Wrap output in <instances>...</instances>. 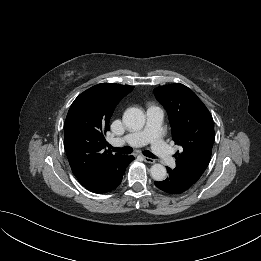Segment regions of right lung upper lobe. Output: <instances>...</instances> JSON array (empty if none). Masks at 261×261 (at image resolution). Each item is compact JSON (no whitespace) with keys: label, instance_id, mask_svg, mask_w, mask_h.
I'll return each mask as SVG.
<instances>
[{"label":"right lung upper lobe","instance_id":"right-lung-upper-lobe-1","mask_svg":"<svg viewBox=\"0 0 261 261\" xmlns=\"http://www.w3.org/2000/svg\"><path fill=\"white\" fill-rule=\"evenodd\" d=\"M133 86L101 83L81 93L72 103L64 124V147L78 181L90 188L108 178L124 155L106 150L104 135L119 101Z\"/></svg>","mask_w":261,"mask_h":261}]
</instances>
